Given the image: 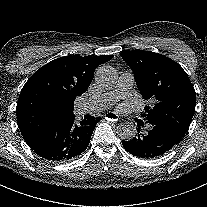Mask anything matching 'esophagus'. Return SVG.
<instances>
[{"instance_id":"34e87169","label":"esophagus","mask_w":207,"mask_h":207,"mask_svg":"<svg viewBox=\"0 0 207 207\" xmlns=\"http://www.w3.org/2000/svg\"><path fill=\"white\" fill-rule=\"evenodd\" d=\"M104 118L106 120H109V121H118L119 119V116L114 113V112H107L105 115H104Z\"/></svg>"}]
</instances>
